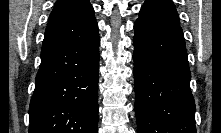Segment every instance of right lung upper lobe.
Masks as SVG:
<instances>
[{
    "mask_svg": "<svg viewBox=\"0 0 221 133\" xmlns=\"http://www.w3.org/2000/svg\"><path fill=\"white\" fill-rule=\"evenodd\" d=\"M97 31L89 0H58L50 14L42 48L79 45Z\"/></svg>",
    "mask_w": 221,
    "mask_h": 133,
    "instance_id": "cb5924a9",
    "label": "right lung upper lobe"
}]
</instances>
